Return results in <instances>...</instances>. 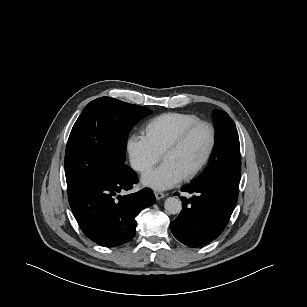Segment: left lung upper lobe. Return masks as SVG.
Here are the masks:
<instances>
[{
	"label": "left lung upper lobe",
	"instance_id": "obj_1",
	"mask_svg": "<svg viewBox=\"0 0 307 307\" xmlns=\"http://www.w3.org/2000/svg\"><path fill=\"white\" fill-rule=\"evenodd\" d=\"M216 143L208 166L194 181L217 182L238 195L241 175L239 137L233 120L222 111H214Z\"/></svg>",
	"mask_w": 307,
	"mask_h": 307
}]
</instances>
